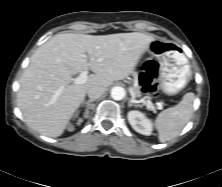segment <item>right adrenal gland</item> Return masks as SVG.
<instances>
[{
  "label": "right adrenal gland",
  "instance_id": "1",
  "mask_svg": "<svg viewBox=\"0 0 222 187\" xmlns=\"http://www.w3.org/2000/svg\"><path fill=\"white\" fill-rule=\"evenodd\" d=\"M94 101H95V99H89V100L83 102V107L84 106L86 107L85 112H84V114L86 116L89 114V109L91 108V103Z\"/></svg>",
  "mask_w": 222,
  "mask_h": 187
}]
</instances>
